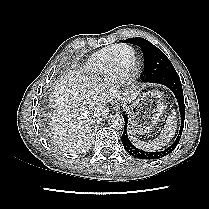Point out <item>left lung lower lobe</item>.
Instances as JSON below:
<instances>
[{"mask_svg": "<svg viewBox=\"0 0 209 209\" xmlns=\"http://www.w3.org/2000/svg\"><path fill=\"white\" fill-rule=\"evenodd\" d=\"M150 83H156L161 84L166 87H168L175 95L178 105H179V111L181 114V126L179 130V134L176 138V140L165 150L160 152H146L143 150H140L136 148L129 140L127 135V123H128V117L126 114L123 115L125 125H124V132L122 134V144L124 146V149L132 156L145 159V160H153V159H159L162 158L168 154H170L178 145L181 134L184 127V120H185V105H184V97H183V90H182V84L180 81V78L177 74V72L174 71H167L164 73L159 74L158 76L152 78Z\"/></svg>", "mask_w": 209, "mask_h": 209, "instance_id": "0a47b994", "label": "left lung lower lobe"}]
</instances>
